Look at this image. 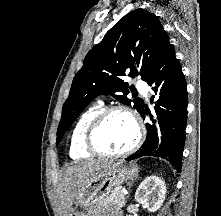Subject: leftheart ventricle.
Here are the masks:
<instances>
[{
	"instance_id": "left-heart-ventricle-1",
	"label": "left heart ventricle",
	"mask_w": 221,
	"mask_h": 216,
	"mask_svg": "<svg viewBox=\"0 0 221 216\" xmlns=\"http://www.w3.org/2000/svg\"><path fill=\"white\" fill-rule=\"evenodd\" d=\"M136 137L135 125L125 113L111 114L95 135L96 144L104 151L116 153L127 149Z\"/></svg>"
}]
</instances>
